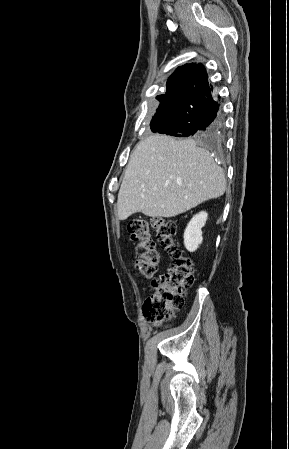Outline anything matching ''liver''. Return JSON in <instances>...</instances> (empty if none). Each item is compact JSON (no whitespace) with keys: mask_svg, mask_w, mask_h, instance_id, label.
<instances>
[{"mask_svg":"<svg viewBox=\"0 0 289 449\" xmlns=\"http://www.w3.org/2000/svg\"><path fill=\"white\" fill-rule=\"evenodd\" d=\"M225 189L223 169L194 140L152 135L130 156L118 193V218L137 212L174 217L222 196Z\"/></svg>","mask_w":289,"mask_h":449,"instance_id":"1","label":"liver"}]
</instances>
